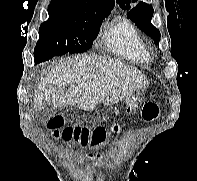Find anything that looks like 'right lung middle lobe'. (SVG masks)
Here are the masks:
<instances>
[{"label":"right lung middle lobe","instance_id":"right-lung-middle-lobe-1","mask_svg":"<svg viewBox=\"0 0 197 181\" xmlns=\"http://www.w3.org/2000/svg\"><path fill=\"white\" fill-rule=\"evenodd\" d=\"M109 14L86 15L77 18L54 16L39 28V40L34 49L36 63L65 53H82L92 47L102 21Z\"/></svg>","mask_w":197,"mask_h":181}]
</instances>
